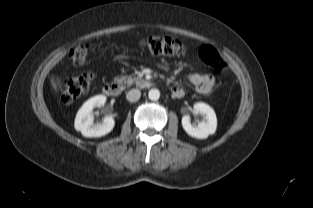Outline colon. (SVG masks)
Masks as SVG:
<instances>
[{"instance_id":"obj_1","label":"colon","mask_w":313,"mask_h":208,"mask_svg":"<svg viewBox=\"0 0 313 208\" xmlns=\"http://www.w3.org/2000/svg\"><path fill=\"white\" fill-rule=\"evenodd\" d=\"M140 45L154 55L184 56L187 53L186 47L179 41L166 37L151 36L141 40ZM89 54L87 44H79L70 51V58L75 65H82L86 62ZM201 59L221 72L227 71V64L220 54L211 46H202L199 51ZM93 82L92 73L74 75L64 81L60 88V98L64 104L86 95Z\"/></svg>"}]
</instances>
